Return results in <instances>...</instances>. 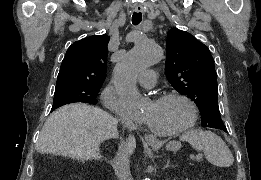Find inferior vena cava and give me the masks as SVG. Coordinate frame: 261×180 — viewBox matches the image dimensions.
Returning <instances> with one entry per match:
<instances>
[{
    "label": "inferior vena cava",
    "instance_id": "602c4592",
    "mask_svg": "<svg viewBox=\"0 0 261 180\" xmlns=\"http://www.w3.org/2000/svg\"><path fill=\"white\" fill-rule=\"evenodd\" d=\"M127 128H134V126L128 122ZM129 158L130 154H128L126 148H119L117 158L114 162L116 174L119 178H125V176L130 178Z\"/></svg>",
    "mask_w": 261,
    "mask_h": 180
}]
</instances>
